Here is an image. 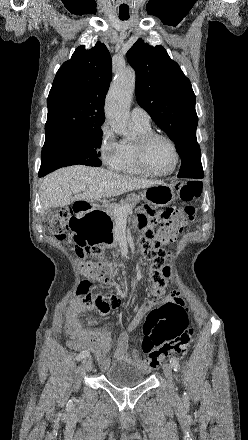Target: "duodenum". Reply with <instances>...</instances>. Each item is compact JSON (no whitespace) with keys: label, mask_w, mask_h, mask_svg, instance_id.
Masks as SVG:
<instances>
[{"label":"duodenum","mask_w":248,"mask_h":440,"mask_svg":"<svg viewBox=\"0 0 248 440\" xmlns=\"http://www.w3.org/2000/svg\"><path fill=\"white\" fill-rule=\"evenodd\" d=\"M81 204H88L90 206L88 201H78V202H76L77 206H80Z\"/></svg>","instance_id":"duodenum-1"}]
</instances>
